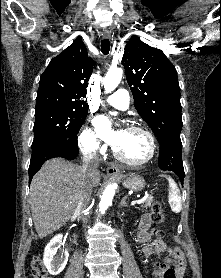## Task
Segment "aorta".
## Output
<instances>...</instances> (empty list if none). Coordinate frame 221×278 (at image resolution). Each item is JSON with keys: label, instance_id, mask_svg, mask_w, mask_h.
<instances>
[{"label": "aorta", "instance_id": "1", "mask_svg": "<svg viewBox=\"0 0 221 278\" xmlns=\"http://www.w3.org/2000/svg\"><path fill=\"white\" fill-rule=\"evenodd\" d=\"M123 75V70L121 68H111L105 75L103 79V85L106 93H111L119 85ZM116 185L109 184L101 197L99 203V210L104 213L107 208L112 204V200L115 194Z\"/></svg>", "mask_w": 221, "mask_h": 278}]
</instances>
